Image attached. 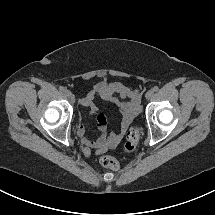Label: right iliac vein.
<instances>
[{
    "label": "right iliac vein",
    "mask_w": 215,
    "mask_h": 215,
    "mask_svg": "<svg viewBox=\"0 0 215 215\" xmlns=\"http://www.w3.org/2000/svg\"><path fill=\"white\" fill-rule=\"evenodd\" d=\"M65 95H66L67 97H69V98L72 97V93H71L70 90H65Z\"/></svg>",
    "instance_id": "63e3f726"
}]
</instances>
